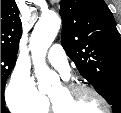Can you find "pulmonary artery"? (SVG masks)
Instances as JSON below:
<instances>
[{
	"label": "pulmonary artery",
	"instance_id": "obj_1",
	"mask_svg": "<svg viewBox=\"0 0 121 113\" xmlns=\"http://www.w3.org/2000/svg\"><path fill=\"white\" fill-rule=\"evenodd\" d=\"M48 62L60 72L63 78L68 79L71 76V67L66 53L59 45L51 47L47 55Z\"/></svg>",
	"mask_w": 121,
	"mask_h": 113
}]
</instances>
